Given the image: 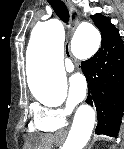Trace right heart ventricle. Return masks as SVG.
Returning a JSON list of instances; mask_svg holds the SVG:
<instances>
[{"mask_svg":"<svg viewBox=\"0 0 124 149\" xmlns=\"http://www.w3.org/2000/svg\"><path fill=\"white\" fill-rule=\"evenodd\" d=\"M29 129L38 133H49L57 128H54L46 123L37 122L36 120L29 125Z\"/></svg>","mask_w":124,"mask_h":149,"instance_id":"obj_1","label":"right heart ventricle"}]
</instances>
